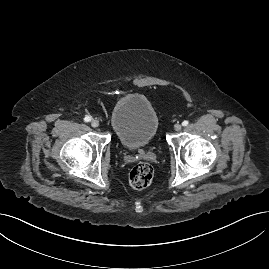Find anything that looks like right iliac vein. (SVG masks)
<instances>
[{
    "instance_id": "right-iliac-vein-1",
    "label": "right iliac vein",
    "mask_w": 269,
    "mask_h": 269,
    "mask_svg": "<svg viewBox=\"0 0 269 269\" xmlns=\"http://www.w3.org/2000/svg\"><path fill=\"white\" fill-rule=\"evenodd\" d=\"M91 126L94 127V128H97L99 126V122L97 120H93L91 122Z\"/></svg>"
}]
</instances>
